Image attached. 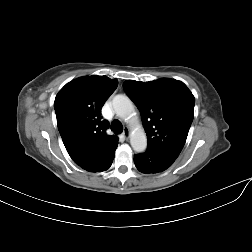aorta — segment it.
Masks as SVG:
<instances>
[{"instance_id": "762f6f07", "label": "aorta", "mask_w": 252, "mask_h": 252, "mask_svg": "<svg viewBox=\"0 0 252 252\" xmlns=\"http://www.w3.org/2000/svg\"><path fill=\"white\" fill-rule=\"evenodd\" d=\"M112 105L119 117L132 121L130 144L134 151L143 152L147 147V138L144 130L136 122L135 108L132 101L125 95H116L112 100Z\"/></svg>"}]
</instances>
